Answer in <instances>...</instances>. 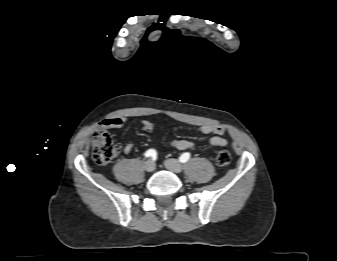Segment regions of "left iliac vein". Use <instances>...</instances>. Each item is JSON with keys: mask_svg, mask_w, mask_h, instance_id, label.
I'll return each mask as SVG.
<instances>
[{"mask_svg": "<svg viewBox=\"0 0 337 261\" xmlns=\"http://www.w3.org/2000/svg\"><path fill=\"white\" fill-rule=\"evenodd\" d=\"M164 165H165V167H166L169 171H171V172H173V173H176V174L180 173V172L182 171V169H183L182 164H180V163H179L177 160H175V159H168V160H166L165 163H164Z\"/></svg>", "mask_w": 337, "mask_h": 261, "instance_id": "4c4485c4", "label": "left iliac vein"}]
</instances>
